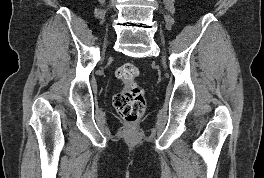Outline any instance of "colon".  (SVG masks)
<instances>
[{
    "mask_svg": "<svg viewBox=\"0 0 264 178\" xmlns=\"http://www.w3.org/2000/svg\"><path fill=\"white\" fill-rule=\"evenodd\" d=\"M115 74L125 86L114 96V107L125 121L135 123L143 114L146 105L143 91L136 83L139 70L132 63H124Z\"/></svg>",
    "mask_w": 264,
    "mask_h": 178,
    "instance_id": "obj_1",
    "label": "colon"
}]
</instances>
